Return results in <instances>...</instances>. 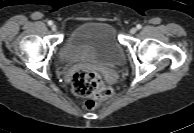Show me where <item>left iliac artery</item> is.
I'll list each match as a JSON object with an SVG mask.
<instances>
[{
    "label": "left iliac artery",
    "mask_w": 194,
    "mask_h": 133,
    "mask_svg": "<svg viewBox=\"0 0 194 133\" xmlns=\"http://www.w3.org/2000/svg\"><path fill=\"white\" fill-rule=\"evenodd\" d=\"M136 27H137V29H141L142 28V26L140 24H138Z\"/></svg>",
    "instance_id": "obj_1"
}]
</instances>
